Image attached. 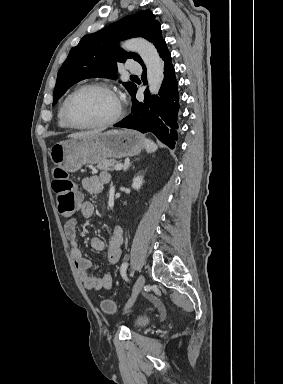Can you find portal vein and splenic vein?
<instances>
[{"instance_id":"obj_1","label":"portal vein and splenic vein","mask_w":283,"mask_h":384,"mask_svg":"<svg viewBox=\"0 0 283 384\" xmlns=\"http://www.w3.org/2000/svg\"><path fill=\"white\" fill-rule=\"evenodd\" d=\"M122 168H124L122 164H117V166H115V170H122Z\"/></svg>"}]
</instances>
